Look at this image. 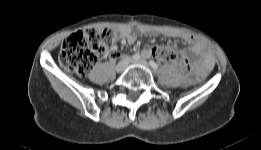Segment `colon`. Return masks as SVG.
Masks as SVG:
<instances>
[{"label":"colon","mask_w":261,"mask_h":150,"mask_svg":"<svg viewBox=\"0 0 261 150\" xmlns=\"http://www.w3.org/2000/svg\"><path fill=\"white\" fill-rule=\"evenodd\" d=\"M121 32L114 28H87L71 34L62 43L59 63L67 71L87 75L96 65L99 56L115 45ZM152 55L175 63L187 76L190 66L178 45L171 41L152 49Z\"/></svg>","instance_id":"1"}]
</instances>
